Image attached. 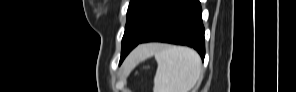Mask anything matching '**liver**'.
<instances>
[{"mask_svg":"<svg viewBox=\"0 0 296 92\" xmlns=\"http://www.w3.org/2000/svg\"><path fill=\"white\" fill-rule=\"evenodd\" d=\"M146 47H147V46L140 47L135 53H136V54H139V53L142 51V49H143V48H146Z\"/></svg>","mask_w":296,"mask_h":92,"instance_id":"liver-1","label":"liver"}]
</instances>
